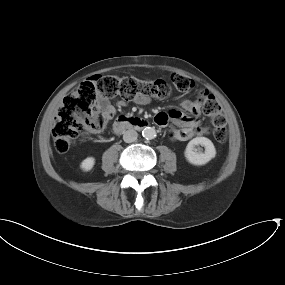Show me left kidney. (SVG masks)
Returning a JSON list of instances; mask_svg holds the SVG:
<instances>
[{
	"label": "left kidney",
	"mask_w": 285,
	"mask_h": 285,
	"mask_svg": "<svg viewBox=\"0 0 285 285\" xmlns=\"http://www.w3.org/2000/svg\"><path fill=\"white\" fill-rule=\"evenodd\" d=\"M201 145L205 148L201 152L196 146ZM184 155L187 161L193 165H205L216 156V149L212 141L206 137L193 138L186 146Z\"/></svg>",
	"instance_id": "obj_1"
}]
</instances>
